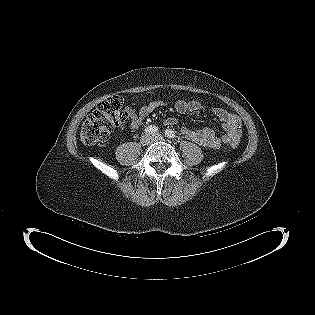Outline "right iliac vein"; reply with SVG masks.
Wrapping results in <instances>:
<instances>
[{
    "instance_id": "right-iliac-vein-1",
    "label": "right iliac vein",
    "mask_w": 315,
    "mask_h": 315,
    "mask_svg": "<svg viewBox=\"0 0 315 315\" xmlns=\"http://www.w3.org/2000/svg\"><path fill=\"white\" fill-rule=\"evenodd\" d=\"M152 142L151 136L149 135H144L142 136V138L140 139V143L142 146H147Z\"/></svg>"
}]
</instances>
